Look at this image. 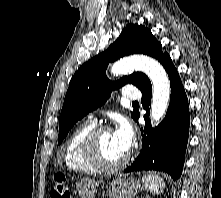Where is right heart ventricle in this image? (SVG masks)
Instances as JSON below:
<instances>
[{"label":"right heart ventricle","instance_id":"right-heart-ventricle-1","mask_svg":"<svg viewBox=\"0 0 221 198\" xmlns=\"http://www.w3.org/2000/svg\"><path fill=\"white\" fill-rule=\"evenodd\" d=\"M94 127V122H84L76 127L67 138L64 147V162L70 170L84 173H93L98 170L87 160L84 152L85 139Z\"/></svg>","mask_w":221,"mask_h":198}]
</instances>
